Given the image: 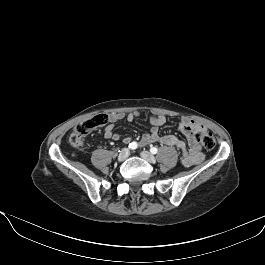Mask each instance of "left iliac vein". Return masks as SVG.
Here are the masks:
<instances>
[{"instance_id":"obj_1","label":"left iliac vein","mask_w":265,"mask_h":265,"mask_svg":"<svg viewBox=\"0 0 265 265\" xmlns=\"http://www.w3.org/2000/svg\"><path fill=\"white\" fill-rule=\"evenodd\" d=\"M140 155L143 159H145L146 161L150 163H155L156 161L155 157L148 151H142Z\"/></svg>"}]
</instances>
